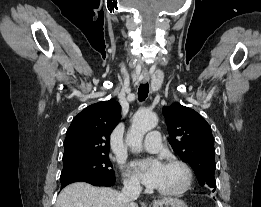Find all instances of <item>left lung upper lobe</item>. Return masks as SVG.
Instances as JSON below:
<instances>
[{"label":"left lung upper lobe","instance_id":"obj_1","mask_svg":"<svg viewBox=\"0 0 261 207\" xmlns=\"http://www.w3.org/2000/svg\"><path fill=\"white\" fill-rule=\"evenodd\" d=\"M162 113L175 153L190 164L201 186L215 190V149L210 125L199 113L179 103L163 107Z\"/></svg>","mask_w":261,"mask_h":207}]
</instances>
